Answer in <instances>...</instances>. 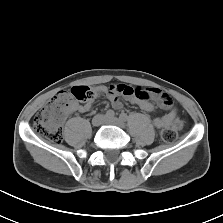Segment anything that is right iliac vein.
Masks as SVG:
<instances>
[{
  "label": "right iliac vein",
  "instance_id": "63e3f726",
  "mask_svg": "<svg viewBox=\"0 0 223 223\" xmlns=\"http://www.w3.org/2000/svg\"><path fill=\"white\" fill-rule=\"evenodd\" d=\"M105 116L102 114H97L96 116L93 117L92 119V125L95 127H98L100 125H102L105 121Z\"/></svg>",
  "mask_w": 223,
  "mask_h": 223
}]
</instances>
